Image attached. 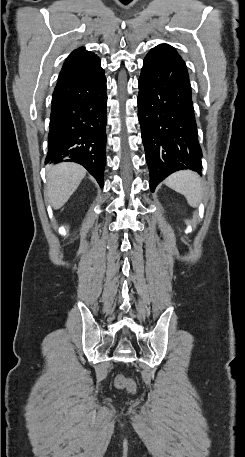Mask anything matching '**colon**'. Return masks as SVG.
Segmentation results:
<instances>
[{
	"label": "colon",
	"mask_w": 245,
	"mask_h": 457,
	"mask_svg": "<svg viewBox=\"0 0 245 457\" xmlns=\"http://www.w3.org/2000/svg\"><path fill=\"white\" fill-rule=\"evenodd\" d=\"M116 384L118 387L127 389L129 391H133L135 389V384H134L133 380H131L130 378H127L123 375L117 376Z\"/></svg>",
	"instance_id": "colon-1"
}]
</instances>
